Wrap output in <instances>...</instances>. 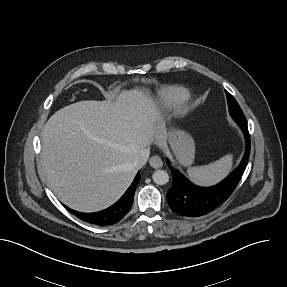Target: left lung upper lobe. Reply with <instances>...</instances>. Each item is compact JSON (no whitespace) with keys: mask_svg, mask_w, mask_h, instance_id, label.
I'll use <instances>...</instances> for the list:
<instances>
[{"mask_svg":"<svg viewBox=\"0 0 287 287\" xmlns=\"http://www.w3.org/2000/svg\"><path fill=\"white\" fill-rule=\"evenodd\" d=\"M226 96H227V101H228V107H229V112L231 116L234 118V120H245V116L236 102V100L233 98V96L226 91Z\"/></svg>","mask_w":287,"mask_h":287,"instance_id":"obj_1","label":"left lung upper lobe"}]
</instances>
